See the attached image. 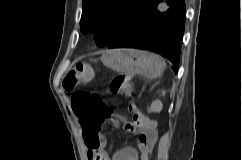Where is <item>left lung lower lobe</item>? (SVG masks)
Wrapping results in <instances>:
<instances>
[{"mask_svg":"<svg viewBox=\"0 0 242 160\" xmlns=\"http://www.w3.org/2000/svg\"><path fill=\"white\" fill-rule=\"evenodd\" d=\"M185 15V0H150L136 21L108 48L156 52L169 59L177 72Z\"/></svg>","mask_w":242,"mask_h":160,"instance_id":"1","label":"left lung lower lobe"}]
</instances>
